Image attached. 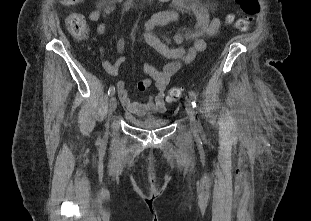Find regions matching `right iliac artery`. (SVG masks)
<instances>
[{
  "label": "right iliac artery",
  "mask_w": 311,
  "mask_h": 221,
  "mask_svg": "<svg viewBox=\"0 0 311 221\" xmlns=\"http://www.w3.org/2000/svg\"><path fill=\"white\" fill-rule=\"evenodd\" d=\"M115 93V87L114 86H110L109 90H108V95H113Z\"/></svg>",
  "instance_id": "obj_1"
}]
</instances>
